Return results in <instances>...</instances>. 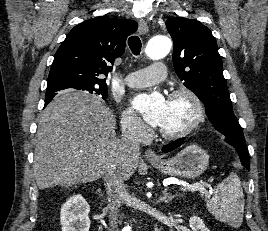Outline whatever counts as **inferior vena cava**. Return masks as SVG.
<instances>
[{"label":"inferior vena cava","instance_id":"1","mask_svg":"<svg viewBox=\"0 0 268 231\" xmlns=\"http://www.w3.org/2000/svg\"><path fill=\"white\" fill-rule=\"evenodd\" d=\"M123 149H125L132 158L139 156V143L137 131L133 126L127 127L122 133ZM126 179L123 169L116 164L107 166L104 182L108 195V217L110 231H119L118 216L124 193V180Z\"/></svg>","mask_w":268,"mask_h":231}]
</instances>
